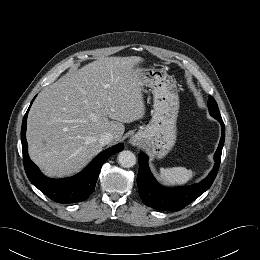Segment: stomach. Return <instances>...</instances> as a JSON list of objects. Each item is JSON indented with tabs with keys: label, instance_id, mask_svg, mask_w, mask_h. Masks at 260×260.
<instances>
[{
	"label": "stomach",
	"instance_id": "obj_1",
	"mask_svg": "<svg viewBox=\"0 0 260 260\" xmlns=\"http://www.w3.org/2000/svg\"><path fill=\"white\" fill-rule=\"evenodd\" d=\"M143 86L152 89V119L132 136L133 144L140 145L152 157L162 159L174 147L177 137L176 122L179 96L176 81L157 68H136Z\"/></svg>",
	"mask_w": 260,
	"mask_h": 260
}]
</instances>
